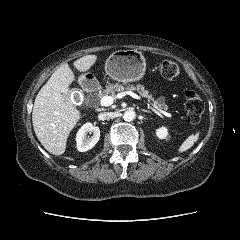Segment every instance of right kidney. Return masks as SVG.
<instances>
[{"mask_svg":"<svg viewBox=\"0 0 240 240\" xmlns=\"http://www.w3.org/2000/svg\"><path fill=\"white\" fill-rule=\"evenodd\" d=\"M87 133H92L91 138H86ZM100 130L97 126L92 123H85L78 131L76 136L77 149L80 152H85L92 149L95 144L99 141Z\"/></svg>","mask_w":240,"mask_h":240,"instance_id":"ca27d5eb","label":"right kidney"}]
</instances>
